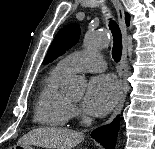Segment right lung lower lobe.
Segmentation results:
<instances>
[{
    "instance_id": "1",
    "label": "right lung lower lobe",
    "mask_w": 155,
    "mask_h": 149,
    "mask_svg": "<svg viewBox=\"0 0 155 149\" xmlns=\"http://www.w3.org/2000/svg\"><path fill=\"white\" fill-rule=\"evenodd\" d=\"M119 129V117L112 124L100 127L91 133V137L102 144L106 149H113Z\"/></svg>"
}]
</instances>
